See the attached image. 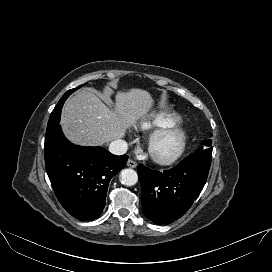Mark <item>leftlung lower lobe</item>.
Segmentation results:
<instances>
[{
  "mask_svg": "<svg viewBox=\"0 0 272 272\" xmlns=\"http://www.w3.org/2000/svg\"><path fill=\"white\" fill-rule=\"evenodd\" d=\"M211 158L212 147H209L164 172L139 164L137 172L145 216L155 224H168L183 216L206 183Z\"/></svg>",
  "mask_w": 272,
  "mask_h": 272,
  "instance_id": "left-lung-lower-lobe-1",
  "label": "left lung lower lobe"
}]
</instances>
